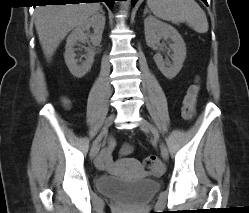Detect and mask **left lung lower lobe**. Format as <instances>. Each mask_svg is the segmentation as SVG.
I'll return each mask as SVG.
<instances>
[{
	"instance_id": "0a47b994",
	"label": "left lung lower lobe",
	"mask_w": 249,
	"mask_h": 213,
	"mask_svg": "<svg viewBox=\"0 0 249 213\" xmlns=\"http://www.w3.org/2000/svg\"><path fill=\"white\" fill-rule=\"evenodd\" d=\"M137 0H132V5L134 6V4L136 3ZM204 1L206 4H207V1L206 0H202Z\"/></svg>"
}]
</instances>
